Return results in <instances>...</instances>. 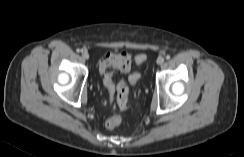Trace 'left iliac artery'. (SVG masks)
Here are the masks:
<instances>
[{
	"label": "left iliac artery",
	"instance_id": "obj_1",
	"mask_svg": "<svg viewBox=\"0 0 244 157\" xmlns=\"http://www.w3.org/2000/svg\"><path fill=\"white\" fill-rule=\"evenodd\" d=\"M166 59L169 60V59H170V55H167V56H166Z\"/></svg>",
	"mask_w": 244,
	"mask_h": 157
}]
</instances>
